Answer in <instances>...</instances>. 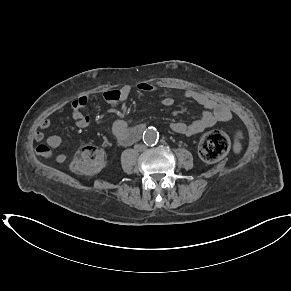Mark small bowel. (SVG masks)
<instances>
[{
  "label": "small bowel",
  "instance_id": "obj_1",
  "mask_svg": "<svg viewBox=\"0 0 291 291\" xmlns=\"http://www.w3.org/2000/svg\"><path fill=\"white\" fill-rule=\"evenodd\" d=\"M138 88L144 92H153L155 87L147 81H140L138 83ZM131 86L124 85L120 88L108 89L104 92V100L110 105L111 109L116 110L122 107L129 100L131 94ZM182 98L186 100H193L198 103L202 108L203 112L201 116L190 123L185 122H173L170 124V128L178 134L182 135H195L205 131L206 129L214 126L219 122H227L231 119L232 114L229 108L221 103H218L211 97L204 93L185 89L182 94ZM174 103L172 97H164L162 99V104L165 107H170ZM88 104V98L86 96H81L73 100L69 107L72 110V120L74 124L79 128L89 127L92 123V118L90 115L84 113V110ZM65 112V107H59L55 109L51 114L45 117L39 125V130L35 133V140L42 141L44 139V131L47 130L53 119L62 115ZM145 124H140L136 126H131L130 122L124 119H118L114 122L112 126L113 134L121 145L128 146L136 142L140 137L144 129ZM62 138L58 135H51L46 139V145H39L36 149L37 154L44 157L52 156V149H57L62 145ZM43 146L46 151L43 152L39 150V147ZM56 161L58 163H63L67 160L66 154H58L56 156Z\"/></svg>",
  "mask_w": 291,
  "mask_h": 291
}]
</instances>
